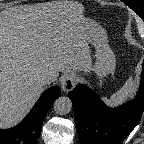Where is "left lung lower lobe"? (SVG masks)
<instances>
[{"label": "left lung lower lobe", "mask_w": 144, "mask_h": 144, "mask_svg": "<svg viewBox=\"0 0 144 144\" xmlns=\"http://www.w3.org/2000/svg\"><path fill=\"white\" fill-rule=\"evenodd\" d=\"M80 144H118L139 123L144 109V61L141 82L134 100L108 108L87 86L78 84L69 92Z\"/></svg>", "instance_id": "1"}]
</instances>
